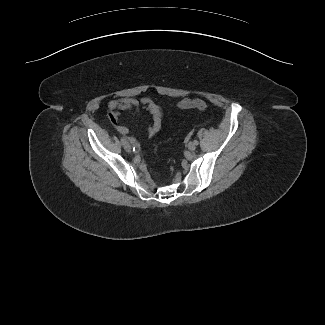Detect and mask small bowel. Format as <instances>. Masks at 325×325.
Listing matches in <instances>:
<instances>
[{
    "label": "small bowel",
    "mask_w": 325,
    "mask_h": 325,
    "mask_svg": "<svg viewBox=\"0 0 325 325\" xmlns=\"http://www.w3.org/2000/svg\"><path fill=\"white\" fill-rule=\"evenodd\" d=\"M140 107L147 109L152 115V121L147 130V136L152 137L159 133L162 128L163 111L162 108L151 98L138 100L132 97H122L108 102V109L110 110L109 115L112 122L115 124L118 132L122 135L128 136L132 143L135 142V138L129 136L130 131L126 126L120 124L118 115L122 110L138 111Z\"/></svg>",
    "instance_id": "small-bowel-1"
}]
</instances>
